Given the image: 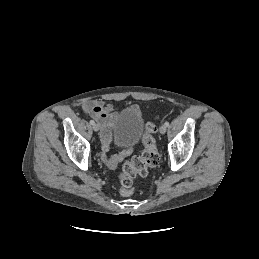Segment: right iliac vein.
<instances>
[{"instance_id": "obj_1", "label": "right iliac vein", "mask_w": 259, "mask_h": 259, "mask_svg": "<svg viewBox=\"0 0 259 259\" xmlns=\"http://www.w3.org/2000/svg\"><path fill=\"white\" fill-rule=\"evenodd\" d=\"M93 130L97 132L99 130V125L98 124H94L93 125Z\"/></svg>"}]
</instances>
